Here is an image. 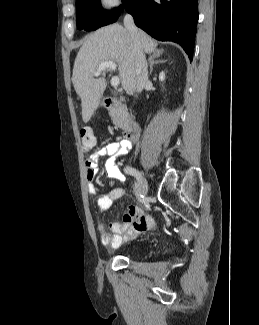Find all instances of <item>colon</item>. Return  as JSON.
Here are the masks:
<instances>
[{
	"label": "colon",
	"instance_id": "colon-1",
	"mask_svg": "<svg viewBox=\"0 0 259 325\" xmlns=\"http://www.w3.org/2000/svg\"><path fill=\"white\" fill-rule=\"evenodd\" d=\"M81 147L84 152H89L95 145V136L90 126L80 129Z\"/></svg>",
	"mask_w": 259,
	"mask_h": 325
}]
</instances>
